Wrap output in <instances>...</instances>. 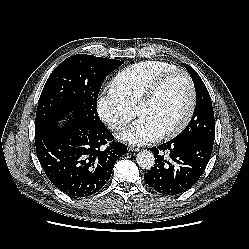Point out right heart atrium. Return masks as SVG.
I'll use <instances>...</instances> for the list:
<instances>
[{
	"mask_svg": "<svg viewBox=\"0 0 249 249\" xmlns=\"http://www.w3.org/2000/svg\"><path fill=\"white\" fill-rule=\"evenodd\" d=\"M99 118L113 131L123 130L134 118L135 109L113 89L103 90L96 100Z\"/></svg>",
	"mask_w": 249,
	"mask_h": 249,
	"instance_id": "right-heart-atrium-1",
	"label": "right heart atrium"
}]
</instances>
